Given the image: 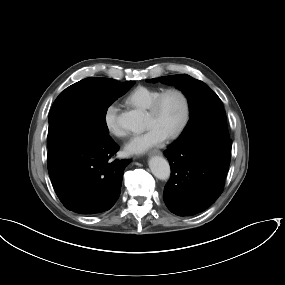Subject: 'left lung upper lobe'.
<instances>
[{"mask_svg": "<svg viewBox=\"0 0 285 285\" xmlns=\"http://www.w3.org/2000/svg\"><path fill=\"white\" fill-rule=\"evenodd\" d=\"M152 81L173 84L188 98L190 120L181 136L170 145L171 147L207 136L229 138L223 104L204 82L186 74L154 78Z\"/></svg>", "mask_w": 285, "mask_h": 285, "instance_id": "obj_1", "label": "left lung upper lobe"}]
</instances>
